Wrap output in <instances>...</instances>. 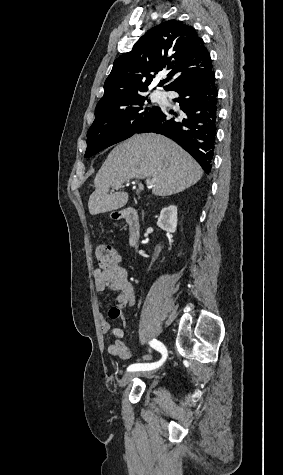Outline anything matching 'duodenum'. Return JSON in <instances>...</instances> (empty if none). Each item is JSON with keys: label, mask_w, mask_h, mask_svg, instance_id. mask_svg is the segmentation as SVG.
<instances>
[{"label": "duodenum", "mask_w": 283, "mask_h": 475, "mask_svg": "<svg viewBox=\"0 0 283 475\" xmlns=\"http://www.w3.org/2000/svg\"><path fill=\"white\" fill-rule=\"evenodd\" d=\"M116 217L125 221L128 228V243L130 247H135L138 244L141 235L138 212L133 208H127Z\"/></svg>", "instance_id": "1"}]
</instances>
